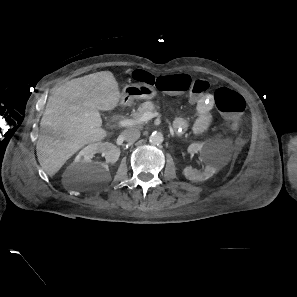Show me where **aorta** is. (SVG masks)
I'll return each mask as SVG.
<instances>
[{"label":"aorta","instance_id":"obj_1","mask_svg":"<svg viewBox=\"0 0 297 297\" xmlns=\"http://www.w3.org/2000/svg\"><path fill=\"white\" fill-rule=\"evenodd\" d=\"M163 142V135L160 132H154L149 137V143L151 145L159 146Z\"/></svg>","mask_w":297,"mask_h":297}]
</instances>
